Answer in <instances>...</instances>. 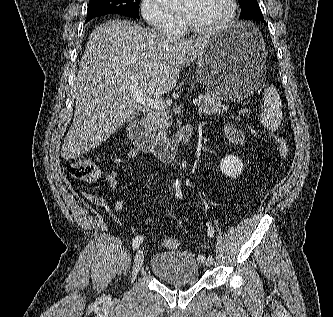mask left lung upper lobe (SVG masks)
<instances>
[{"label":"left lung upper lobe","instance_id":"obj_1","mask_svg":"<svg viewBox=\"0 0 333 317\" xmlns=\"http://www.w3.org/2000/svg\"><path fill=\"white\" fill-rule=\"evenodd\" d=\"M241 13V19H254V20H262L263 15L261 9L257 3V0H238Z\"/></svg>","mask_w":333,"mask_h":317}]
</instances>
